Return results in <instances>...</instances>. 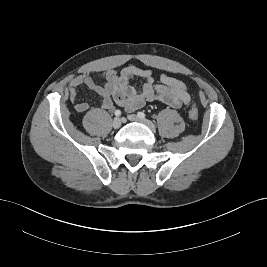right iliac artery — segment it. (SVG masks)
Returning <instances> with one entry per match:
<instances>
[{
	"label": "right iliac artery",
	"mask_w": 267,
	"mask_h": 267,
	"mask_svg": "<svg viewBox=\"0 0 267 267\" xmlns=\"http://www.w3.org/2000/svg\"><path fill=\"white\" fill-rule=\"evenodd\" d=\"M115 115L119 117L121 115V111L120 110H116L115 111Z\"/></svg>",
	"instance_id": "obj_1"
}]
</instances>
